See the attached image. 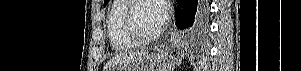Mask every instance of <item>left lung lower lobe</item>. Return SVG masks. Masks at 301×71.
Returning <instances> with one entry per match:
<instances>
[{
	"mask_svg": "<svg viewBox=\"0 0 301 71\" xmlns=\"http://www.w3.org/2000/svg\"><path fill=\"white\" fill-rule=\"evenodd\" d=\"M208 18V0H178L176 25L178 29H185L189 43L202 44L207 40Z\"/></svg>",
	"mask_w": 301,
	"mask_h": 71,
	"instance_id": "obj_1",
	"label": "left lung lower lobe"
}]
</instances>
